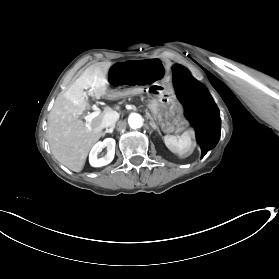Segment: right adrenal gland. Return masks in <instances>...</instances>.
<instances>
[{
	"label": "right adrenal gland",
	"mask_w": 279,
	"mask_h": 279,
	"mask_svg": "<svg viewBox=\"0 0 279 279\" xmlns=\"http://www.w3.org/2000/svg\"><path fill=\"white\" fill-rule=\"evenodd\" d=\"M114 128H115V125L111 126L109 129H106V131L103 133V136H105L106 133H113Z\"/></svg>",
	"instance_id": "obj_1"
}]
</instances>
